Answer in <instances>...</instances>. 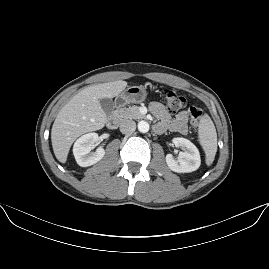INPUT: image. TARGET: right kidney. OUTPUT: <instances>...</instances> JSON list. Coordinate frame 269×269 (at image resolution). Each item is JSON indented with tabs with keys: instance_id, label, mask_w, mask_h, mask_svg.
Wrapping results in <instances>:
<instances>
[{
	"instance_id": "1",
	"label": "right kidney",
	"mask_w": 269,
	"mask_h": 269,
	"mask_svg": "<svg viewBox=\"0 0 269 269\" xmlns=\"http://www.w3.org/2000/svg\"><path fill=\"white\" fill-rule=\"evenodd\" d=\"M98 134L95 132L80 136L73 144V155L79 166L86 167L95 164L104 156V149L97 147L90 153L91 144L96 141Z\"/></svg>"
}]
</instances>
